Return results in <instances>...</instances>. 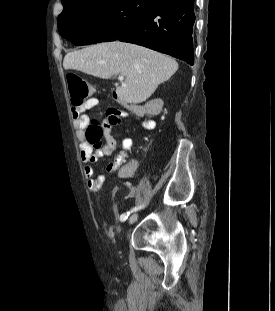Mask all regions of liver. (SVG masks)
Segmentation results:
<instances>
[{"label": "liver", "mask_w": 275, "mask_h": 311, "mask_svg": "<svg viewBox=\"0 0 275 311\" xmlns=\"http://www.w3.org/2000/svg\"><path fill=\"white\" fill-rule=\"evenodd\" d=\"M64 69H75L102 79L123 75L125 81L116 88L121 103L146 101L160 83L178 69L177 62L143 46L120 41L105 42L67 53Z\"/></svg>", "instance_id": "6515ba94"}]
</instances>
